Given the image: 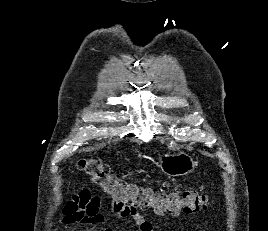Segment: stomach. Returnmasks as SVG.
Listing matches in <instances>:
<instances>
[{"mask_svg":"<svg viewBox=\"0 0 268 231\" xmlns=\"http://www.w3.org/2000/svg\"><path fill=\"white\" fill-rule=\"evenodd\" d=\"M197 166L198 162L183 151L165 154L159 164L161 171L168 177L186 176L193 173Z\"/></svg>","mask_w":268,"mask_h":231,"instance_id":"obj_1","label":"stomach"}]
</instances>
